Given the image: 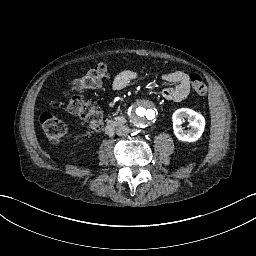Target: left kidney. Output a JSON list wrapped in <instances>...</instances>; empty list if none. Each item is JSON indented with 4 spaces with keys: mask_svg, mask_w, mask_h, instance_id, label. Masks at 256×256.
I'll use <instances>...</instances> for the list:
<instances>
[{
    "mask_svg": "<svg viewBox=\"0 0 256 256\" xmlns=\"http://www.w3.org/2000/svg\"><path fill=\"white\" fill-rule=\"evenodd\" d=\"M187 118L191 129L184 130L181 126L182 119ZM173 130L176 137L181 141L194 142L200 138L204 131V117L192 109H177L172 116Z\"/></svg>",
    "mask_w": 256,
    "mask_h": 256,
    "instance_id": "left-kidney-1",
    "label": "left kidney"
}]
</instances>
